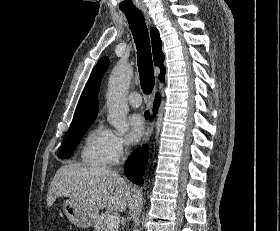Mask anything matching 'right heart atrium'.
I'll use <instances>...</instances> for the list:
<instances>
[{
    "instance_id": "1",
    "label": "right heart atrium",
    "mask_w": 280,
    "mask_h": 231,
    "mask_svg": "<svg viewBox=\"0 0 280 231\" xmlns=\"http://www.w3.org/2000/svg\"><path fill=\"white\" fill-rule=\"evenodd\" d=\"M128 142L112 131H107L105 135V151L108 162H115L128 149Z\"/></svg>"
}]
</instances>
